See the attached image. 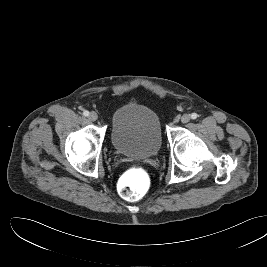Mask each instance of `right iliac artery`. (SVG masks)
I'll list each match as a JSON object with an SVG mask.
<instances>
[{
    "mask_svg": "<svg viewBox=\"0 0 267 267\" xmlns=\"http://www.w3.org/2000/svg\"><path fill=\"white\" fill-rule=\"evenodd\" d=\"M83 115H84V116H89V111L84 110V111H83Z\"/></svg>",
    "mask_w": 267,
    "mask_h": 267,
    "instance_id": "82829eb1",
    "label": "right iliac artery"
}]
</instances>
